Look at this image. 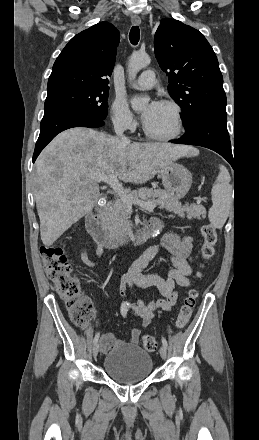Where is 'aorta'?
<instances>
[{
    "label": "aorta",
    "instance_id": "1",
    "mask_svg": "<svg viewBox=\"0 0 259 440\" xmlns=\"http://www.w3.org/2000/svg\"><path fill=\"white\" fill-rule=\"evenodd\" d=\"M151 62L149 55L143 53H134L131 55L128 63L129 80L133 81L136 78L137 73L147 67ZM150 101L148 96H134L131 99V107L135 111L142 110Z\"/></svg>",
    "mask_w": 259,
    "mask_h": 440
}]
</instances>
